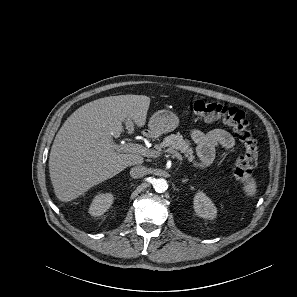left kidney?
<instances>
[{"label": "left kidney", "mask_w": 297, "mask_h": 297, "mask_svg": "<svg viewBox=\"0 0 297 297\" xmlns=\"http://www.w3.org/2000/svg\"><path fill=\"white\" fill-rule=\"evenodd\" d=\"M194 210L199 217L213 220L217 216V208L214 206L211 199L202 191L194 196Z\"/></svg>", "instance_id": "5707ae66"}]
</instances>
